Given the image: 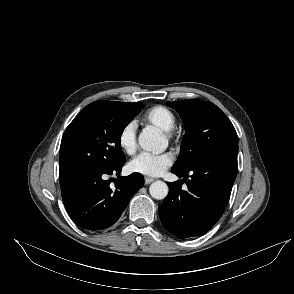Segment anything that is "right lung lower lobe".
Instances as JSON below:
<instances>
[{
	"label": "right lung lower lobe",
	"mask_w": 294,
	"mask_h": 294,
	"mask_svg": "<svg viewBox=\"0 0 294 294\" xmlns=\"http://www.w3.org/2000/svg\"><path fill=\"white\" fill-rule=\"evenodd\" d=\"M122 164L111 169H91L60 175L62 199L75 224L88 230L113 225L127 207L131 197L144 185V177L133 173L118 177L115 188L107 175L121 172Z\"/></svg>",
	"instance_id": "obj_1"
}]
</instances>
